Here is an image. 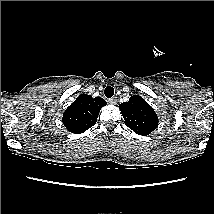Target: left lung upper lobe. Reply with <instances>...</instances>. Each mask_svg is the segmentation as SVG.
I'll return each mask as SVG.
<instances>
[{
  "label": "left lung upper lobe",
  "instance_id": "5c2ea615",
  "mask_svg": "<svg viewBox=\"0 0 214 214\" xmlns=\"http://www.w3.org/2000/svg\"><path fill=\"white\" fill-rule=\"evenodd\" d=\"M125 124L136 134L149 135L158 126L154 109L139 95L130 97L128 102L119 105Z\"/></svg>",
  "mask_w": 214,
  "mask_h": 214
}]
</instances>
